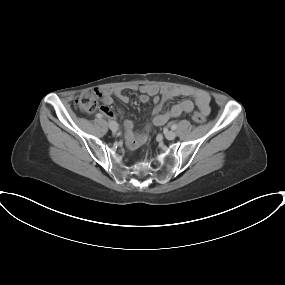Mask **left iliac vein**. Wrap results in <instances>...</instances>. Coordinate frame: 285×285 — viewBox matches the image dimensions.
<instances>
[{
	"label": "left iliac vein",
	"instance_id": "left-iliac-vein-1",
	"mask_svg": "<svg viewBox=\"0 0 285 285\" xmlns=\"http://www.w3.org/2000/svg\"><path fill=\"white\" fill-rule=\"evenodd\" d=\"M164 135L168 140H173L176 137V133L174 131H166Z\"/></svg>",
	"mask_w": 285,
	"mask_h": 285
}]
</instances>
